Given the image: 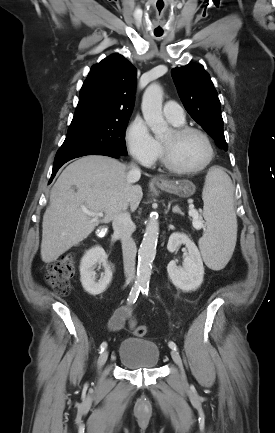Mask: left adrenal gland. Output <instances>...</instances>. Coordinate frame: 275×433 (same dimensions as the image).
Wrapping results in <instances>:
<instances>
[{
  "label": "left adrenal gland",
  "instance_id": "a2214340",
  "mask_svg": "<svg viewBox=\"0 0 275 433\" xmlns=\"http://www.w3.org/2000/svg\"><path fill=\"white\" fill-rule=\"evenodd\" d=\"M172 211H173V213H178V214H181V215L183 214L181 212L180 208L177 205L175 207H173Z\"/></svg>",
  "mask_w": 275,
  "mask_h": 433
}]
</instances>
